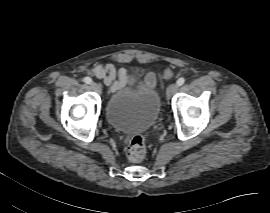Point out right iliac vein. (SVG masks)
<instances>
[{
    "instance_id": "right-iliac-vein-1",
    "label": "right iliac vein",
    "mask_w": 270,
    "mask_h": 213,
    "mask_svg": "<svg viewBox=\"0 0 270 213\" xmlns=\"http://www.w3.org/2000/svg\"><path fill=\"white\" fill-rule=\"evenodd\" d=\"M91 87H92V89L94 90V91H96V92H100V87H99V85L97 84V83H92L91 84Z\"/></svg>"
}]
</instances>
